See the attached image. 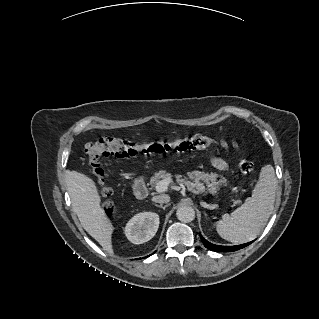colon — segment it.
<instances>
[{
	"mask_svg": "<svg viewBox=\"0 0 319 319\" xmlns=\"http://www.w3.org/2000/svg\"><path fill=\"white\" fill-rule=\"evenodd\" d=\"M216 141L204 136H192L158 142H131L120 138L102 137L85 147V156L90 172L95 177L102 196V206L106 212L112 211L110 188L105 186V172L102 160L106 157H132L138 154H163L168 152L187 153L196 150L211 149ZM242 174H250L254 170L253 163L242 160L238 164Z\"/></svg>",
	"mask_w": 319,
	"mask_h": 319,
	"instance_id": "colon-1",
	"label": "colon"
}]
</instances>
